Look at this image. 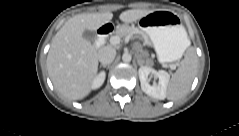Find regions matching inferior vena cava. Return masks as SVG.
Here are the masks:
<instances>
[{"label": "inferior vena cava", "mask_w": 239, "mask_h": 136, "mask_svg": "<svg viewBox=\"0 0 239 136\" xmlns=\"http://www.w3.org/2000/svg\"><path fill=\"white\" fill-rule=\"evenodd\" d=\"M116 56V50L111 46H104L98 51V60L102 65L110 64Z\"/></svg>", "instance_id": "602c4592"}]
</instances>
